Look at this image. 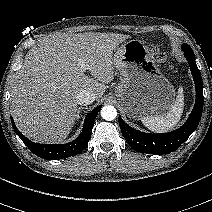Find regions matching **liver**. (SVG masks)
<instances>
[{
    "label": "liver",
    "mask_w": 212,
    "mask_h": 212,
    "mask_svg": "<svg viewBox=\"0 0 212 212\" xmlns=\"http://www.w3.org/2000/svg\"><path fill=\"white\" fill-rule=\"evenodd\" d=\"M128 38L108 33L57 34L32 47L11 91V113L23 135L40 143L62 142L77 119L78 92L102 97L105 84L114 79L113 50ZM86 70L90 76L84 74Z\"/></svg>",
    "instance_id": "liver-1"
}]
</instances>
